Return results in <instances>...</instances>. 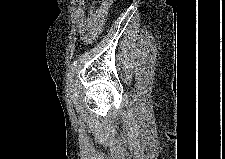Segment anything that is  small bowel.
Returning a JSON list of instances; mask_svg holds the SVG:
<instances>
[{"label": "small bowel", "instance_id": "obj_1", "mask_svg": "<svg viewBox=\"0 0 225 159\" xmlns=\"http://www.w3.org/2000/svg\"><path fill=\"white\" fill-rule=\"evenodd\" d=\"M112 5V0H104L98 8L90 7L88 12H85L84 1H78L76 11L77 24L79 33L85 43H91L100 33L109 9Z\"/></svg>", "mask_w": 225, "mask_h": 159}]
</instances>
